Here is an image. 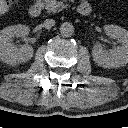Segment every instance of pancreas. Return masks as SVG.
<instances>
[{
    "label": "pancreas",
    "mask_w": 128,
    "mask_h": 128,
    "mask_svg": "<svg viewBox=\"0 0 128 128\" xmlns=\"http://www.w3.org/2000/svg\"><path fill=\"white\" fill-rule=\"evenodd\" d=\"M43 1L45 4V9L50 13L51 12L56 13L66 8V5H64L62 2H59L57 0H43Z\"/></svg>",
    "instance_id": "1"
}]
</instances>
